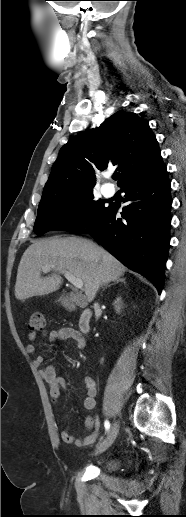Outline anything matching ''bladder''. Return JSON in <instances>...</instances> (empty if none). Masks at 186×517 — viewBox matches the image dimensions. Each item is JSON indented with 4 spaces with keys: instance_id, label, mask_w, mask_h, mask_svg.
Masks as SVG:
<instances>
[{
    "instance_id": "bladder-1",
    "label": "bladder",
    "mask_w": 186,
    "mask_h": 517,
    "mask_svg": "<svg viewBox=\"0 0 186 517\" xmlns=\"http://www.w3.org/2000/svg\"><path fill=\"white\" fill-rule=\"evenodd\" d=\"M116 467V463L115 462H111L109 465H108V468L109 469H114Z\"/></svg>"
}]
</instances>
